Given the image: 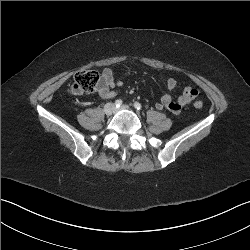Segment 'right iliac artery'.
<instances>
[{"instance_id":"82829eb1","label":"right iliac artery","mask_w":250,"mask_h":250,"mask_svg":"<svg viewBox=\"0 0 250 250\" xmlns=\"http://www.w3.org/2000/svg\"><path fill=\"white\" fill-rule=\"evenodd\" d=\"M122 105V100L121 99H118L115 101V106L116 107H120Z\"/></svg>"}]
</instances>
